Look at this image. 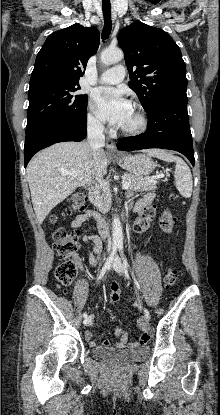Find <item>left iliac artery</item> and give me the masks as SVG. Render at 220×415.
<instances>
[{
    "mask_svg": "<svg viewBox=\"0 0 220 415\" xmlns=\"http://www.w3.org/2000/svg\"><path fill=\"white\" fill-rule=\"evenodd\" d=\"M118 248H119L120 253H121L122 257H123V265H124V268L125 269H130L129 264H128V261H127L126 257L124 256V253H123V244H119L118 245ZM130 272H131V275L133 277V280H134V283H135L136 288L140 291V285H139V283H138V281H137L134 273L131 270H130ZM144 314H145V316L147 318H150V313H149V311L147 309L144 310Z\"/></svg>",
    "mask_w": 220,
    "mask_h": 415,
    "instance_id": "left-iliac-artery-1",
    "label": "left iliac artery"
}]
</instances>
